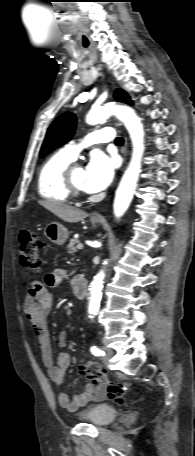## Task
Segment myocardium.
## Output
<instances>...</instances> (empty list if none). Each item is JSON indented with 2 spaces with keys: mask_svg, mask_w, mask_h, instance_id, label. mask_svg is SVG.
<instances>
[{
  "mask_svg": "<svg viewBox=\"0 0 195 456\" xmlns=\"http://www.w3.org/2000/svg\"><path fill=\"white\" fill-rule=\"evenodd\" d=\"M77 167H80V165L77 163H71L64 173L65 186L69 191L70 195L73 197H81L86 193V190L78 187L73 181L72 174L74 169H76Z\"/></svg>",
  "mask_w": 195,
  "mask_h": 456,
  "instance_id": "obj_1",
  "label": "myocardium"
}]
</instances>
